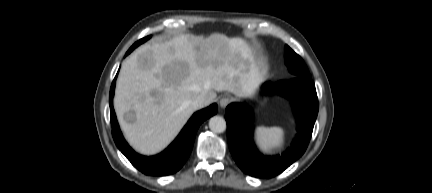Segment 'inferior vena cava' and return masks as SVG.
<instances>
[{
    "mask_svg": "<svg viewBox=\"0 0 432 193\" xmlns=\"http://www.w3.org/2000/svg\"><path fill=\"white\" fill-rule=\"evenodd\" d=\"M207 100L205 97L199 95L194 100L191 101L190 105L194 110H197L205 105Z\"/></svg>",
    "mask_w": 432,
    "mask_h": 193,
    "instance_id": "obj_1",
    "label": "inferior vena cava"
}]
</instances>
